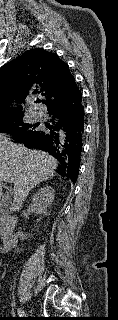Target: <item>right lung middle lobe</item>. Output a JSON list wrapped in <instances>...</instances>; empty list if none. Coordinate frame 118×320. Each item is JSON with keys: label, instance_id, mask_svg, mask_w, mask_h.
<instances>
[{"label": "right lung middle lobe", "instance_id": "dd1d6c3e", "mask_svg": "<svg viewBox=\"0 0 118 320\" xmlns=\"http://www.w3.org/2000/svg\"><path fill=\"white\" fill-rule=\"evenodd\" d=\"M37 129V124L25 123L22 116L0 118V133L11 134L15 142L33 134Z\"/></svg>", "mask_w": 118, "mask_h": 320}]
</instances>
